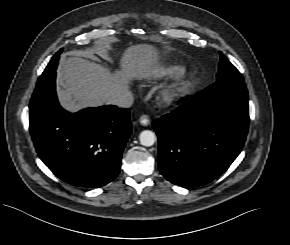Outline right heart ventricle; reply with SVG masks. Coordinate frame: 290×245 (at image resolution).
Instances as JSON below:
<instances>
[{"instance_id": "right-heart-ventricle-1", "label": "right heart ventricle", "mask_w": 290, "mask_h": 245, "mask_svg": "<svg viewBox=\"0 0 290 245\" xmlns=\"http://www.w3.org/2000/svg\"><path fill=\"white\" fill-rule=\"evenodd\" d=\"M185 67L177 63H169L159 66L145 75V79L149 81L160 80L168 77L179 76L185 72Z\"/></svg>"}]
</instances>
